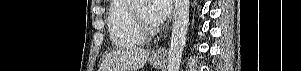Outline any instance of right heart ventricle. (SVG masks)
Returning <instances> with one entry per match:
<instances>
[{
    "label": "right heart ventricle",
    "mask_w": 301,
    "mask_h": 71,
    "mask_svg": "<svg viewBox=\"0 0 301 71\" xmlns=\"http://www.w3.org/2000/svg\"><path fill=\"white\" fill-rule=\"evenodd\" d=\"M130 7V0H114L110 5L107 26L114 47H137L146 41V36L138 30L133 20Z\"/></svg>",
    "instance_id": "1"
}]
</instances>
